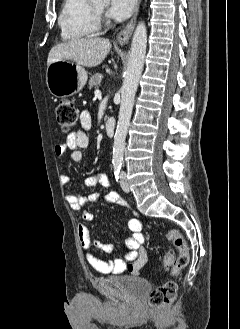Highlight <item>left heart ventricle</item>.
Returning a JSON list of instances; mask_svg holds the SVG:
<instances>
[{"mask_svg": "<svg viewBox=\"0 0 240 329\" xmlns=\"http://www.w3.org/2000/svg\"><path fill=\"white\" fill-rule=\"evenodd\" d=\"M96 8H97L98 10H100V11L103 10V7H102V6H96Z\"/></svg>", "mask_w": 240, "mask_h": 329, "instance_id": "1", "label": "left heart ventricle"}]
</instances>
